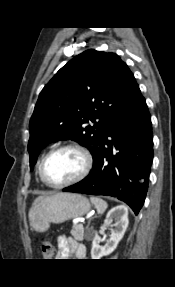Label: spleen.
Masks as SVG:
<instances>
[{
  "mask_svg": "<svg viewBox=\"0 0 175 287\" xmlns=\"http://www.w3.org/2000/svg\"><path fill=\"white\" fill-rule=\"evenodd\" d=\"M90 200L100 214H102L107 209V203L103 199L91 196Z\"/></svg>",
  "mask_w": 175,
  "mask_h": 287,
  "instance_id": "spleen-1",
  "label": "spleen"
}]
</instances>
